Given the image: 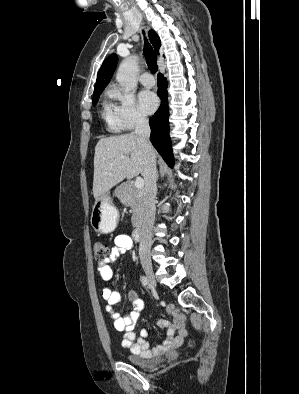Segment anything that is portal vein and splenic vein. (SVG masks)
I'll return each instance as SVG.
<instances>
[{"label": "portal vein and splenic vein", "instance_id": "1", "mask_svg": "<svg viewBox=\"0 0 299 394\" xmlns=\"http://www.w3.org/2000/svg\"><path fill=\"white\" fill-rule=\"evenodd\" d=\"M135 188L136 189H142L144 187V181L141 177H136L135 179Z\"/></svg>", "mask_w": 299, "mask_h": 394}]
</instances>
